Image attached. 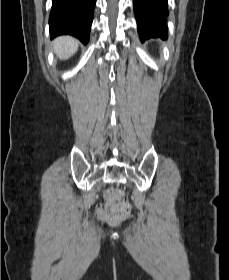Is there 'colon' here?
I'll list each match as a JSON object with an SVG mask.
<instances>
[{"label":"colon","instance_id":"obj_1","mask_svg":"<svg viewBox=\"0 0 229 280\" xmlns=\"http://www.w3.org/2000/svg\"><path fill=\"white\" fill-rule=\"evenodd\" d=\"M106 207L99 212L101 219L118 222L127 218L131 213V206L124 197L123 192L117 186L109 188L105 192Z\"/></svg>","mask_w":229,"mask_h":280}]
</instances>
